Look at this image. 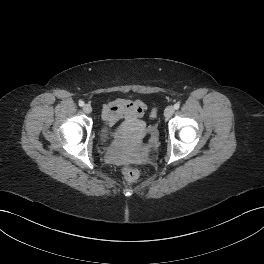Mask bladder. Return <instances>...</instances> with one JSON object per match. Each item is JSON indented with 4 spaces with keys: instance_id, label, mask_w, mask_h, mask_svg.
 <instances>
[{
    "instance_id": "bladder-1",
    "label": "bladder",
    "mask_w": 264,
    "mask_h": 264,
    "mask_svg": "<svg viewBox=\"0 0 264 264\" xmlns=\"http://www.w3.org/2000/svg\"><path fill=\"white\" fill-rule=\"evenodd\" d=\"M113 136L112 129L106 125L103 124L99 129V138L102 142H108Z\"/></svg>"
}]
</instances>
